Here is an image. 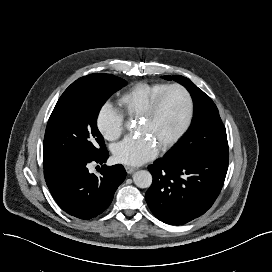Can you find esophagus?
Returning a JSON list of instances; mask_svg holds the SVG:
<instances>
[{
	"label": "esophagus",
	"instance_id": "obj_1",
	"mask_svg": "<svg viewBox=\"0 0 272 272\" xmlns=\"http://www.w3.org/2000/svg\"><path fill=\"white\" fill-rule=\"evenodd\" d=\"M125 169H126V172H127L128 174H132V173H134V172L137 170V168H135V167H130V166H126Z\"/></svg>",
	"mask_w": 272,
	"mask_h": 272
}]
</instances>
